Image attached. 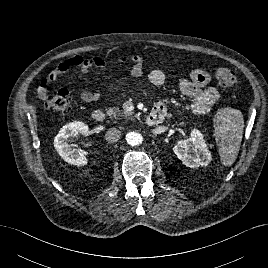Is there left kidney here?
I'll return each mask as SVG.
<instances>
[{"label":"left kidney","mask_w":268,"mask_h":268,"mask_svg":"<svg viewBox=\"0 0 268 268\" xmlns=\"http://www.w3.org/2000/svg\"><path fill=\"white\" fill-rule=\"evenodd\" d=\"M190 136L177 142L173 147L174 153L187 167L207 166L212 157L203 134L198 129H193Z\"/></svg>","instance_id":"left-kidney-1"}]
</instances>
